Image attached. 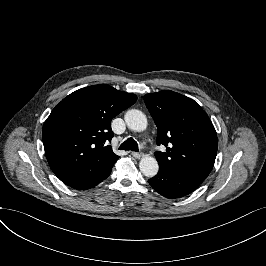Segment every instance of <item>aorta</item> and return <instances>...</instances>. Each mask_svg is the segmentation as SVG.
<instances>
[{
	"label": "aorta",
	"mask_w": 266,
	"mask_h": 266,
	"mask_svg": "<svg viewBox=\"0 0 266 266\" xmlns=\"http://www.w3.org/2000/svg\"><path fill=\"white\" fill-rule=\"evenodd\" d=\"M124 121L127 127L134 131H142L146 128L147 119L145 114L138 109H129L124 114ZM139 169L144 177L153 178L158 174L159 165L153 157H143Z\"/></svg>",
	"instance_id": "obj_1"
}]
</instances>
